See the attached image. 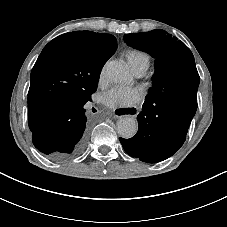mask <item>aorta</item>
Returning a JSON list of instances; mask_svg holds the SVG:
<instances>
[{"label": "aorta", "instance_id": "aorta-1", "mask_svg": "<svg viewBox=\"0 0 227 227\" xmlns=\"http://www.w3.org/2000/svg\"><path fill=\"white\" fill-rule=\"evenodd\" d=\"M106 76L115 83L128 82L131 79L126 65L120 61L112 60L106 64ZM138 130V123L133 117H123L117 122L118 134L125 139L135 136Z\"/></svg>", "mask_w": 227, "mask_h": 227}]
</instances>
